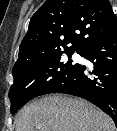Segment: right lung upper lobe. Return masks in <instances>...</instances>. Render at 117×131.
Segmentation results:
<instances>
[{"instance_id": "right-lung-upper-lobe-1", "label": "right lung upper lobe", "mask_w": 117, "mask_h": 131, "mask_svg": "<svg viewBox=\"0 0 117 131\" xmlns=\"http://www.w3.org/2000/svg\"><path fill=\"white\" fill-rule=\"evenodd\" d=\"M116 29L108 0H47L30 20L13 70L52 52H78Z\"/></svg>"}]
</instances>
